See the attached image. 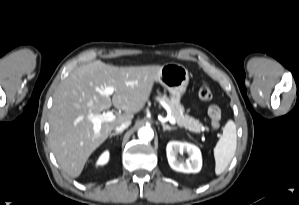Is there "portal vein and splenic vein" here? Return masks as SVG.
<instances>
[{"instance_id":"obj_1","label":"portal vein and splenic vein","mask_w":299,"mask_h":205,"mask_svg":"<svg viewBox=\"0 0 299 205\" xmlns=\"http://www.w3.org/2000/svg\"><path fill=\"white\" fill-rule=\"evenodd\" d=\"M114 87L112 86H107L102 94L106 95V96H110L114 93ZM88 119L93 123L94 127H93V130H94V133L95 134H98L100 132V129H101V124L103 122H111L115 119V115L113 114V111H107L106 113H102V114H97V115H93V114H90L88 115ZM168 120L171 124H175L176 123V120L172 117V116H169L168 117Z\"/></svg>"}]
</instances>
